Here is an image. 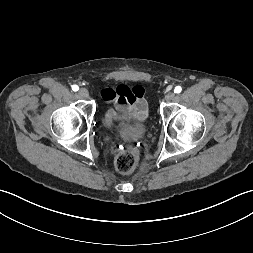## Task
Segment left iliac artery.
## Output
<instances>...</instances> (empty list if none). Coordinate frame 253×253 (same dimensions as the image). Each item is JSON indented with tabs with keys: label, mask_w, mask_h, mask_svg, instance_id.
<instances>
[{
	"label": "left iliac artery",
	"mask_w": 253,
	"mask_h": 253,
	"mask_svg": "<svg viewBox=\"0 0 253 253\" xmlns=\"http://www.w3.org/2000/svg\"><path fill=\"white\" fill-rule=\"evenodd\" d=\"M182 91V88L180 86H176L174 89V93H180Z\"/></svg>",
	"instance_id": "obj_1"
}]
</instances>
